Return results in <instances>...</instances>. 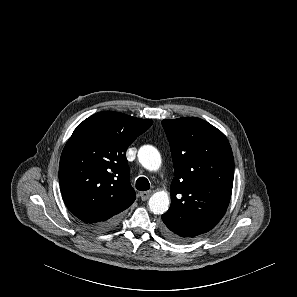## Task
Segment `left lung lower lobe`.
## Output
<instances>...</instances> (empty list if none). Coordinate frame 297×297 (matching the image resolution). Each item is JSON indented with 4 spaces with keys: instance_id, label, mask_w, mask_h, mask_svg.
<instances>
[{
    "instance_id": "left-lung-lower-lobe-1",
    "label": "left lung lower lobe",
    "mask_w": 297,
    "mask_h": 297,
    "mask_svg": "<svg viewBox=\"0 0 297 297\" xmlns=\"http://www.w3.org/2000/svg\"><path fill=\"white\" fill-rule=\"evenodd\" d=\"M163 223L161 224V230L162 233L174 242H186L185 240L181 239L177 234L174 232V227H172V224L167 221L165 218H162Z\"/></svg>"
}]
</instances>
